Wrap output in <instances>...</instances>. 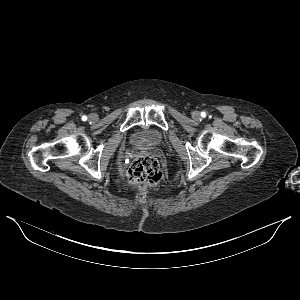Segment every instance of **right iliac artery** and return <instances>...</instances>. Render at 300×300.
Instances as JSON below:
<instances>
[{
  "label": "right iliac artery",
  "instance_id": "1",
  "mask_svg": "<svg viewBox=\"0 0 300 300\" xmlns=\"http://www.w3.org/2000/svg\"><path fill=\"white\" fill-rule=\"evenodd\" d=\"M82 120H83V121H86V120H87V116H85V115L82 116Z\"/></svg>",
  "mask_w": 300,
  "mask_h": 300
}]
</instances>
